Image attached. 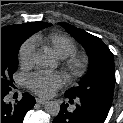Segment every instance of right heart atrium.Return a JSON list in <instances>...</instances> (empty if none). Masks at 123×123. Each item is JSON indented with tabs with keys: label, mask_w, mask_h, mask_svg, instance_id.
I'll return each mask as SVG.
<instances>
[{
	"label": "right heart atrium",
	"mask_w": 123,
	"mask_h": 123,
	"mask_svg": "<svg viewBox=\"0 0 123 123\" xmlns=\"http://www.w3.org/2000/svg\"><path fill=\"white\" fill-rule=\"evenodd\" d=\"M35 52V43L32 39L27 40L20 48L19 61L22 66L28 67L31 65Z\"/></svg>",
	"instance_id": "obj_1"
}]
</instances>
